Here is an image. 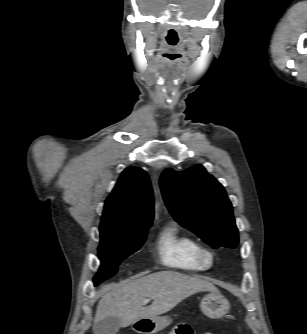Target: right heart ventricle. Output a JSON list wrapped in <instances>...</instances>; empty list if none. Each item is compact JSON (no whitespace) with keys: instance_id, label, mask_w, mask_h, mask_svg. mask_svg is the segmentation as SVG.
Segmentation results:
<instances>
[{"instance_id":"right-heart-ventricle-1","label":"right heart ventricle","mask_w":307,"mask_h":334,"mask_svg":"<svg viewBox=\"0 0 307 334\" xmlns=\"http://www.w3.org/2000/svg\"><path fill=\"white\" fill-rule=\"evenodd\" d=\"M198 246V242L174 222L165 224L155 238L159 262L166 267L186 272L205 269L196 257Z\"/></svg>"}]
</instances>
